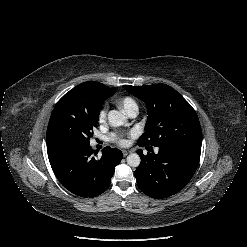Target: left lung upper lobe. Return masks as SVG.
<instances>
[{"mask_svg":"<svg viewBox=\"0 0 247 247\" xmlns=\"http://www.w3.org/2000/svg\"><path fill=\"white\" fill-rule=\"evenodd\" d=\"M124 88L146 103L148 119L139 146L188 145L201 147L202 130L192 106L166 84L125 85Z\"/></svg>","mask_w":247,"mask_h":247,"instance_id":"left-lung-upper-lobe-1","label":"left lung upper lobe"}]
</instances>
